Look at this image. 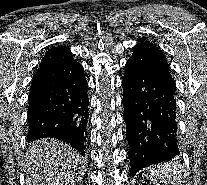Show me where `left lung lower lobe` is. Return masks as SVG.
Here are the masks:
<instances>
[{"label": "left lung lower lobe", "instance_id": "0a47b994", "mask_svg": "<svg viewBox=\"0 0 207 185\" xmlns=\"http://www.w3.org/2000/svg\"><path fill=\"white\" fill-rule=\"evenodd\" d=\"M130 176L179 155L176 88L156 75L126 65L122 80Z\"/></svg>", "mask_w": 207, "mask_h": 185}]
</instances>
